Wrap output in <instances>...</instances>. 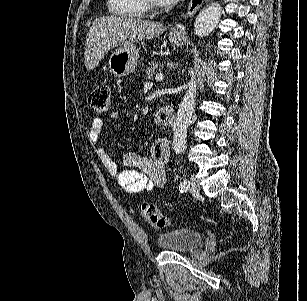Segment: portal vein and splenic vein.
<instances>
[{"label":"portal vein and splenic vein","mask_w":307,"mask_h":301,"mask_svg":"<svg viewBox=\"0 0 307 301\" xmlns=\"http://www.w3.org/2000/svg\"><path fill=\"white\" fill-rule=\"evenodd\" d=\"M156 80H164V74H156Z\"/></svg>","instance_id":"1"}]
</instances>
